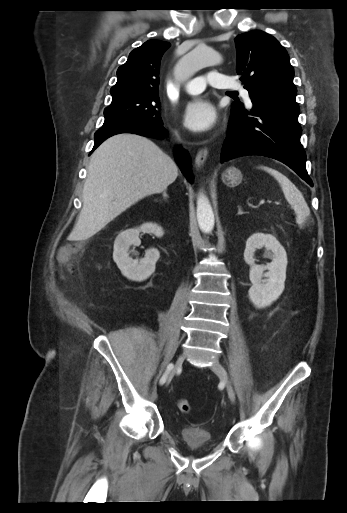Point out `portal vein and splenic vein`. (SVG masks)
<instances>
[{
    "instance_id": "18ae733b",
    "label": "portal vein and splenic vein",
    "mask_w": 347,
    "mask_h": 513,
    "mask_svg": "<svg viewBox=\"0 0 347 513\" xmlns=\"http://www.w3.org/2000/svg\"><path fill=\"white\" fill-rule=\"evenodd\" d=\"M263 203H264V201H263V200H262V201H260V205H261V204H263ZM275 203L277 204V202H275Z\"/></svg>"
}]
</instances>
